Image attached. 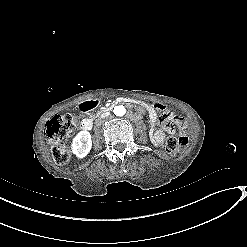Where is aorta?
I'll use <instances>...</instances> for the list:
<instances>
[{"label": "aorta", "instance_id": "762f6f07", "mask_svg": "<svg viewBox=\"0 0 247 247\" xmlns=\"http://www.w3.org/2000/svg\"><path fill=\"white\" fill-rule=\"evenodd\" d=\"M113 112L116 116H123L126 113V109L124 106L118 105L114 108Z\"/></svg>", "mask_w": 247, "mask_h": 247}]
</instances>
